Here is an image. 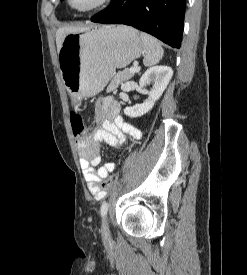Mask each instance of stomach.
<instances>
[{"mask_svg":"<svg viewBox=\"0 0 247 275\" xmlns=\"http://www.w3.org/2000/svg\"><path fill=\"white\" fill-rule=\"evenodd\" d=\"M138 31L128 26H96L70 33L58 53L64 85L74 105L101 92L117 68L143 53Z\"/></svg>","mask_w":247,"mask_h":275,"instance_id":"stomach-1","label":"stomach"}]
</instances>
